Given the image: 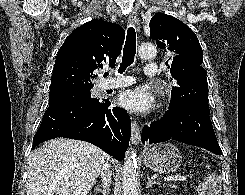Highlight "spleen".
<instances>
[{"instance_id": "obj_1", "label": "spleen", "mask_w": 245, "mask_h": 195, "mask_svg": "<svg viewBox=\"0 0 245 195\" xmlns=\"http://www.w3.org/2000/svg\"><path fill=\"white\" fill-rule=\"evenodd\" d=\"M206 167H207V168H209L210 166H209V165H207Z\"/></svg>"}]
</instances>
